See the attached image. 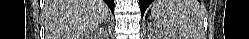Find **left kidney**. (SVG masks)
I'll use <instances>...</instances> for the list:
<instances>
[{
    "mask_svg": "<svg viewBox=\"0 0 249 39\" xmlns=\"http://www.w3.org/2000/svg\"><path fill=\"white\" fill-rule=\"evenodd\" d=\"M172 35L166 32H160V34H158V39H174L173 37H171Z\"/></svg>",
    "mask_w": 249,
    "mask_h": 39,
    "instance_id": "left-kidney-1",
    "label": "left kidney"
}]
</instances>
